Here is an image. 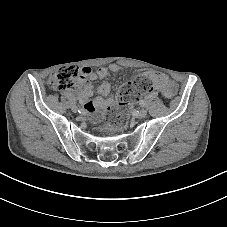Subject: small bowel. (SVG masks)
Listing matches in <instances>:
<instances>
[{
	"label": "small bowel",
	"instance_id": "1",
	"mask_svg": "<svg viewBox=\"0 0 227 227\" xmlns=\"http://www.w3.org/2000/svg\"><path fill=\"white\" fill-rule=\"evenodd\" d=\"M124 70V67L118 64L99 68L96 72L90 67L82 68L77 92L87 113L93 114L98 118L100 116L99 112L107 108L113 101L111 98H106L111 91L109 83L103 82L99 86L93 87L90 82L96 79H104L109 71L123 72ZM145 75L152 83L151 90L149 91L151 95L158 91L165 98L170 99L176 94L178 89L176 82L169 79L166 75L155 71L148 72ZM94 94L96 97L92 98Z\"/></svg>",
	"mask_w": 227,
	"mask_h": 227
}]
</instances>
